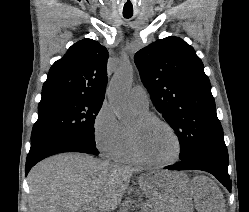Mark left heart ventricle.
I'll list each match as a JSON object with an SVG mask.
<instances>
[{
    "label": "left heart ventricle",
    "mask_w": 249,
    "mask_h": 212,
    "mask_svg": "<svg viewBox=\"0 0 249 212\" xmlns=\"http://www.w3.org/2000/svg\"><path fill=\"white\" fill-rule=\"evenodd\" d=\"M139 151L149 160L166 162L173 160L178 152L175 137L165 127L153 123L142 125L138 119L129 129Z\"/></svg>",
    "instance_id": "1"
}]
</instances>
